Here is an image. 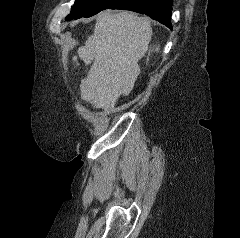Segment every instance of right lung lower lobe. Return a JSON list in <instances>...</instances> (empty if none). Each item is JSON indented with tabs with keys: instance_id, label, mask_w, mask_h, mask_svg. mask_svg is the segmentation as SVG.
Returning <instances> with one entry per match:
<instances>
[{
	"instance_id": "obj_1",
	"label": "right lung lower lobe",
	"mask_w": 240,
	"mask_h": 238,
	"mask_svg": "<svg viewBox=\"0 0 240 238\" xmlns=\"http://www.w3.org/2000/svg\"><path fill=\"white\" fill-rule=\"evenodd\" d=\"M172 0H118L109 9L129 10L148 15L172 29Z\"/></svg>"
}]
</instances>
